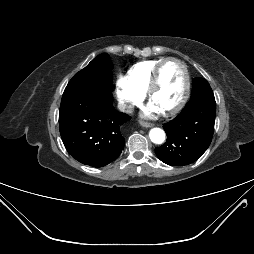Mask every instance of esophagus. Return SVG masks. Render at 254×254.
I'll return each mask as SVG.
<instances>
[{
	"mask_svg": "<svg viewBox=\"0 0 254 254\" xmlns=\"http://www.w3.org/2000/svg\"><path fill=\"white\" fill-rule=\"evenodd\" d=\"M140 124H141V126L144 127V128L153 127V124H152V123H148V122H145V121H140Z\"/></svg>",
	"mask_w": 254,
	"mask_h": 254,
	"instance_id": "esophagus-1",
	"label": "esophagus"
}]
</instances>
